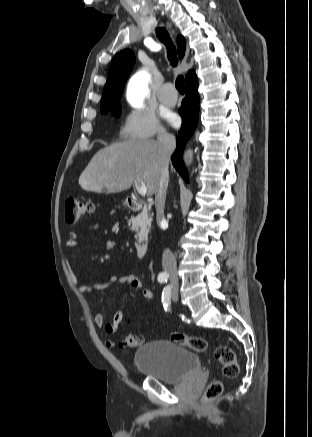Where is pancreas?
<instances>
[{"label": "pancreas", "instance_id": "pancreas-1", "mask_svg": "<svg viewBox=\"0 0 312 437\" xmlns=\"http://www.w3.org/2000/svg\"><path fill=\"white\" fill-rule=\"evenodd\" d=\"M152 218L148 214L146 207L136 216H132L130 219L131 230L135 231V238L138 241L147 240L148 233L151 227Z\"/></svg>", "mask_w": 312, "mask_h": 437}]
</instances>
